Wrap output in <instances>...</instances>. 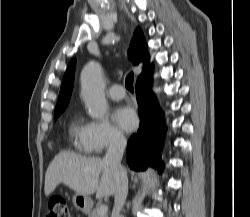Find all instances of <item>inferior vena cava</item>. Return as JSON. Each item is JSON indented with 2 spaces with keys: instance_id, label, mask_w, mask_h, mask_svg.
Here are the masks:
<instances>
[{
  "instance_id": "obj_1",
  "label": "inferior vena cava",
  "mask_w": 250,
  "mask_h": 217,
  "mask_svg": "<svg viewBox=\"0 0 250 217\" xmlns=\"http://www.w3.org/2000/svg\"><path fill=\"white\" fill-rule=\"evenodd\" d=\"M125 147L126 139L124 136L116 134L112 137L110 146L104 157V162L110 167L115 178V204L112 211V217H121L120 212L124 206L128 193L127 173L121 165Z\"/></svg>"
}]
</instances>
